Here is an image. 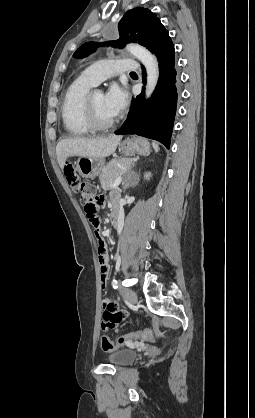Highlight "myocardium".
Here are the masks:
<instances>
[{
    "mask_svg": "<svg viewBox=\"0 0 255 418\" xmlns=\"http://www.w3.org/2000/svg\"><path fill=\"white\" fill-rule=\"evenodd\" d=\"M94 92H95L94 90H91L86 95L85 102H84V117L88 126L92 130L105 131V130L112 128L115 125L116 120L113 119L109 122H101L98 120L95 110H94L93 101H92V96Z\"/></svg>",
    "mask_w": 255,
    "mask_h": 418,
    "instance_id": "f54148a6",
    "label": "myocardium"
}]
</instances>
